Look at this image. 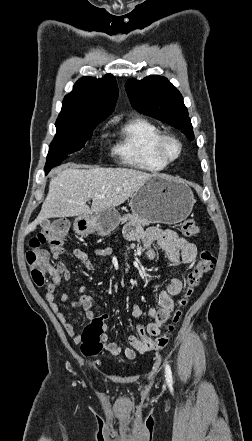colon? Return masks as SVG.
I'll list each match as a JSON object with an SVG mask.
<instances>
[{"mask_svg":"<svg viewBox=\"0 0 252 441\" xmlns=\"http://www.w3.org/2000/svg\"><path fill=\"white\" fill-rule=\"evenodd\" d=\"M68 227L69 223L67 220H55L30 240L26 259L31 269L32 280L37 286H43L46 283L50 267L48 251L41 249V246L47 244L52 252L62 251ZM179 228L181 233L188 237L196 236L200 231L197 223L191 219L183 221ZM215 263V255L209 249L200 252L196 265L186 277L185 288L181 298L178 300V307L174 311L170 323L166 325L165 331L160 336L154 339L148 338L146 328L141 324L137 325V334L144 343L146 352L161 350L168 344L170 335L180 320L182 308L188 303L203 277L213 268ZM107 318V314L94 317L83 329L80 334V344L81 352L84 356L93 357L101 351V337L107 329L105 323Z\"/></svg>","mask_w":252,"mask_h":441,"instance_id":"obj_1","label":"colon"}]
</instances>
